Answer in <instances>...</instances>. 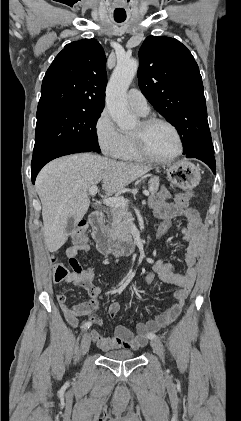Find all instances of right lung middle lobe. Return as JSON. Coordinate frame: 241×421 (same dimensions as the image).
<instances>
[{
  "label": "right lung middle lobe",
  "instance_id": "obj_1",
  "mask_svg": "<svg viewBox=\"0 0 241 421\" xmlns=\"http://www.w3.org/2000/svg\"><path fill=\"white\" fill-rule=\"evenodd\" d=\"M101 112L61 107L37 110L33 157L68 147H84L99 153L95 130Z\"/></svg>",
  "mask_w": 241,
  "mask_h": 421
}]
</instances>
